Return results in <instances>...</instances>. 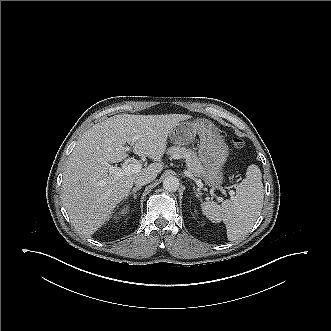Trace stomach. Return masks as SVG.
Returning <instances> with one entry per match:
<instances>
[{
  "label": "stomach",
  "mask_w": 331,
  "mask_h": 331,
  "mask_svg": "<svg viewBox=\"0 0 331 331\" xmlns=\"http://www.w3.org/2000/svg\"><path fill=\"white\" fill-rule=\"evenodd\" d=\"M169 136L174 144H188L194 139V124L190 121L181 122ZM198 154L204 165V182L212 188H218L224 179L222 167L228 156L227 144L216 132L206 131L200 136Z\"/></svg>",
  "instance_id": "obj_1"
}]
</instances>
